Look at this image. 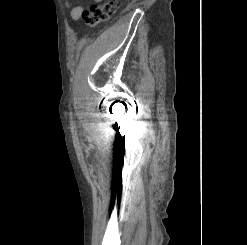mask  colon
<instances>
[{
    "label": "colon",
    "mask_w": 247,
    "mask_h": 245,
    "mask_svg": "<svg viewBox=\"0 0 247 245\" xmlns=\"http://www.w3.org/2000/svg\"><path fill=\"white\" fill-rule=\"evenodd\" d=\"M118 0H103L99 4H93L84 14V21L87 26L95 27L108 21L115 13Z\"/></svg>",
    "instance_id": "obj_1"
}]
</instances>
